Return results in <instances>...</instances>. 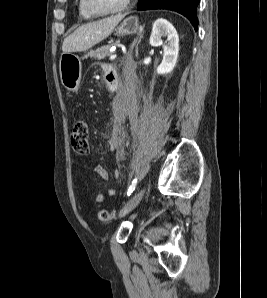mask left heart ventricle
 <instances>
[{
	"mask_svg": "<svg viewBox=\"0 0 267 298\" xmlns=\"http://www.w3.org/2000/svg\"><path fill=\"white\" fill-rule=\"evenodd\" d=\"M125 0H89L90 5L97 11L109 12L118 9Z\"/></svg>",
	"mask_w": 267,
	"mask_h": 298,
	"instance_id": "1",
	"label": "left heart ventricle"
}]
</instances>
